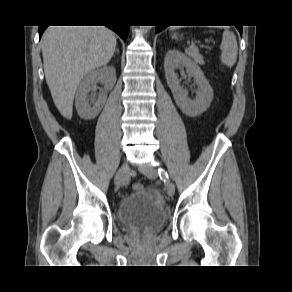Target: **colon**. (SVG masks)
Here are the masks:
<instances>
[{
  "instance_id": "5ec220e1",
  "label": "colon",
  "mask_w": 292,
  "mask_h": 292,
  "mask_svg": "<svg viewBox=\"0 0 292 292\" xmlns=\"http://www.w3.org/2000/svg\"><path fill=\"white\" fill-rule=\"evenodd\" d=\"M132 188H133L134 191H139V190L143 189V186L140 183H134L132 185Z\"/></svg>"
}]
</instances>
